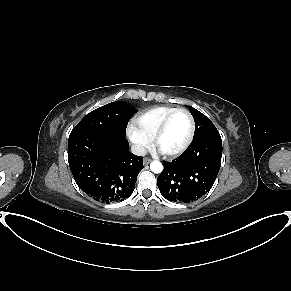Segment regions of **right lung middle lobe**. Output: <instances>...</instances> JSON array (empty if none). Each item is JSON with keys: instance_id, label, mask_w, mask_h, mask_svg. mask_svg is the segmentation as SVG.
<instances>
[{"instance_id": "right-lung-middle-lobe-1", "label": "right lung middle lobe", "mask_w": 291, "mask_h": 291, "mask_svg": "<svg viewBox=\"0 0 291 291\" xmlns=\"http://www.w3.org/2000/svg\"><path fill=\"white\" fill-rule=\"evenodd\" d=\"M135 113V109L123 102L109 103L88 113L74 127L70 136L85 133H105L125 136L127 124Z\"/></svg>"}]
</instances>
